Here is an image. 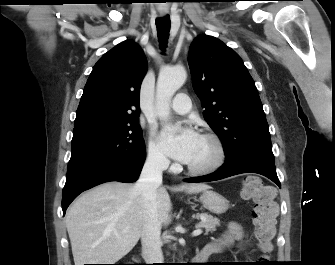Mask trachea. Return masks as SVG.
I'll return each instance as SVG.
<instances>
[{
    "instance_id": "trachea-1",
    "label": "trachea",
    "mask_w": 335,
    "mask_h": 265,
    "mask_svg": "<svg viewBox=\"0 0 335 265\" xmlns=\"http://www.w3.org/2000/svg\"><path fill=\"white\" fill-rule=\"evenodd\" d=\"M155 23L157 27V34H158L160 47H161V50L164 51V49L167 46L170 27H171L170 17L167 15L165 17L158 18L156 19Z\"/></svg>"
}]
</instances>
